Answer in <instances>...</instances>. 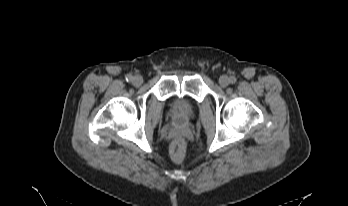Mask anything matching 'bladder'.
<instances>
[{"mask_svg": "<svg viewBox=\"0 0 348 206\" xmlns=\"http://www.w3.org/2000/svg\"><path fill=\"white\" fill-rule=\"evenodd\" d=\"M195 107L185 98H176L171 105L172 116L178 121H187L193 115Z\"/></svg>", "mask_w": 348, "mask_h": 206, "instance_id": "obj_1", "label": "bladder"}]
</instances>
